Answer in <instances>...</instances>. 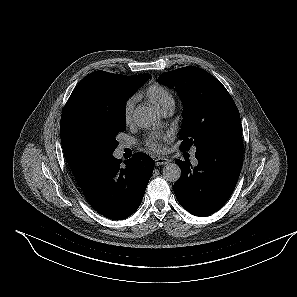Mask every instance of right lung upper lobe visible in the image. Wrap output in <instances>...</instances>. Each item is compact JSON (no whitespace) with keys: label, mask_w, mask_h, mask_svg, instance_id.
<instances>
[{"label":"right lung upper lobe","mask_w":297,"mask_h":297,"mask_svg":"<svg viewBox=\"0 0 297 297\" xmlns=\"http://www.w3.org/2000/svg\"><path fill=\"white\" fill-rule=\"evenodd\" d=\"M150 77V74L126 76L96 71L82 79L71 93L62 112L60 134L64 155L80 187L99 166L90 163L72 145L69 127L74 116L86 106L120 104L130 87L142 86Z\"/></svg>","instance_id":"right-lung-upper-lobe-1"}]
</instances>
